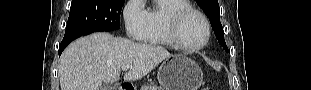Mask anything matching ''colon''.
<instances>
[{
    "instance_id": "5ec220e1",
    "label": "colon",
    "mask_w": 311,
    "mask_h": 90,
    "mask_svg": "<svg viewBox=\"0 0 311 90\" xmlns=\"http://www.w3.org/2000/svg\"><path fill=\"white\" fill-rule=\"evenodd\" d=\"M202 90H213V89L209 88V87H204V88H202Z\"/></svg>"
}]
</instances>
